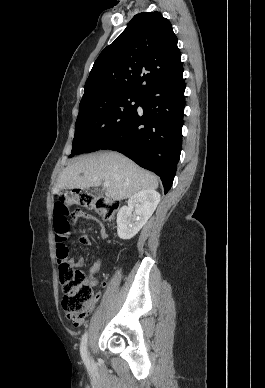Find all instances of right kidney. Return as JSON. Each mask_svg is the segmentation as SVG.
<instances>
[{
  "mask_svg": "<svg viewBox=\"0 0 265 388\" xmlns=\"http://www.w3.org/2000/svg\"><path fill=\"white\" fill-rule=\"evenodd\" d=\"M160 202L155 190H141L129 198L117 214V234L121 240H131L151 218Z\"/></svg>",
  "mask_w": 265,
  "mask_h": 388,
  "instance_id": "obj_1",
  "label": "right kidney"
}]
</instances>
